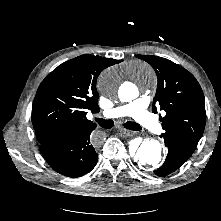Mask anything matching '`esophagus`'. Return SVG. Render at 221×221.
<instances>
[{"label":"esophagus","mask_w":221,"mask_h":221,"mask_svg":"<svg viewBox=\"0 0 221 221\" xmlns=\"http://www.w3.org/2000/svg\"><path fill=\"white\" fill-rule=\"evenodd\" d=\"M120 130H121L124 134H126L127 136H131V135L134 134V132H133V131H130V130H126V129H123V128H121Z\"/></svg>","instance_id":"esophagus-1"}]
</instances>
